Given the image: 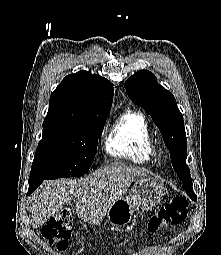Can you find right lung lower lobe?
<instances>
[{"label": "right lung lower lobe", "instance_id": "1", "mask_svg": "<svg viewBox=\"0 0 221 255\" xmlns=\"http://www.w3.org/2000/svg\"><path fill=\"white\" fill-rule=\"evenodd\" d=\"M43 182V179H29V189L27 195H30Z\"/></svg>", "mask_w": 221, "mask_h": 255}]
</instances>
